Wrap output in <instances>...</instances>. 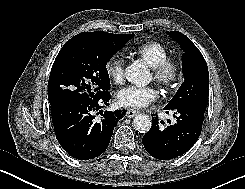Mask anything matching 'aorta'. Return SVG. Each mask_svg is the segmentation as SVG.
<instances>
[{"instance_id":"aorta-1","label":"aorta","mask_w":245,"mask_h":189,"mask_svg":"<svg viewBox=\"0 0 245 189\" xmlns=\"http://www.w3.org/2000/svg\"><path fill=\"white\" fill-rule=\"evenodd\" d=\"M126 79L137 85L146 86L150 82V73L147 68L140 62H133L125 69ZM133 127L140 133H146L151 128V120L149 116L145 114H138L133 119Z\"/></svg>"}]
</instances>
